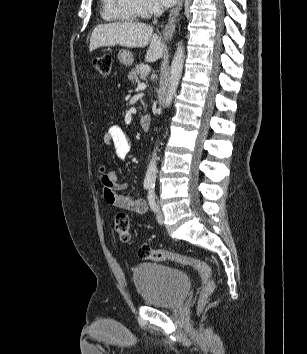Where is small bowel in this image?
I'll list each match as a JSON object with an SVG mask.
<instances>
[{"label":"small bowel","instance_id":"c3829d8e","mask_svg":"<svg viewBox=\"0 0 307 354\" xmlns=\"http://www.w3.org/2000/svg\"><path fill=\"white\" fill-rule=\"evenodd\" d=\"M106 145L114 148L115 154L119 159H123L131 150V140L127 132L119 124H113L108 127L103 136ZM103 196L105 201L117 208L125 209L131 212L143 214L147 211L146 203L132 194H122L121 190L126 185L118 183V174L114 170L100 169Z\"/></svg>","mask_w":307,"mask_h":354}]
</instances>
